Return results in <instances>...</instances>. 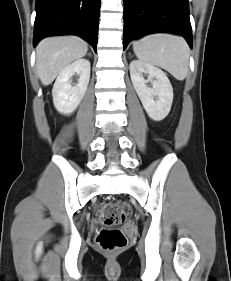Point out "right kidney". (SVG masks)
Instances as JSON below:
<instances>
[{"label": "right kidney", "instance_id": "right-kidney-1", "mask_svg": "<svg viewBox=\"0 0 231 281\" xmlns=\"http://www.w3.org/2000/svg\"><path fill=\"white\" fill-rule=\"evenodd\" d=\"M79 76L78 83L72 85V76ZM90 80V62L78 59L66 66L58 75L53 89V103L62 114L73 113L83 99Z\"/></svg>", "mask_w": 231, "mask_h": 281}]
</instances>
